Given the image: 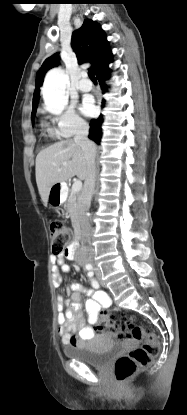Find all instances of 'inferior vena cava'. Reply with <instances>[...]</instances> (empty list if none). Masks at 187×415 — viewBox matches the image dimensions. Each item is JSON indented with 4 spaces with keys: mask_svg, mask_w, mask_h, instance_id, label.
<instances>
[{
    "mask_svg": "<svg viewBox=\"0 0 187 415\" xmlns=\"http://www.w3.org/2000/svg\"><path fill=\"white\" fill-rule=\"evenodd\" d=\"M88 134L89 125L85 122H81L77 127L74 141L80 145L84 152L87 168L84 179V187L78 198V221L81 227V248L77 251L76 255H82L91 258L93 252L89 246L91 239V225L88 217V211L90 208L96 180V147L95 144L88 139Z\"/></svg>",
    "mask_w": 187,
    "mask_h": 415,
    "instance_id": "1",
    "label": "inferior vena cava"
}]
</instances>
